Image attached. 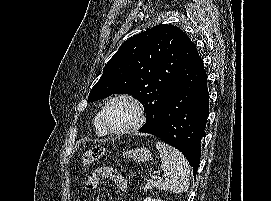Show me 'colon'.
<instances>
[{
  "instance_id": "colon-1",
  "label": "colon",
  "mask_w": 271,
  "mask_h": 201,
  "mask_svg": "<svg viewBox=\"0 0 271 201\" xmlns=\"http://www.w3.org/2000/svg\"><path fill=\"white\" fill-rule=\"evenodd\" d=\"M105 154V148L101 145L87 150L82 156V166L88 168L93 162L99 160Z\"/></svg>"
}]
</instances>
